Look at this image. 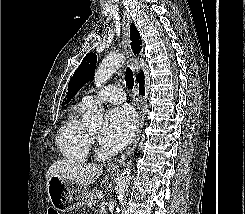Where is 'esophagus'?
Instances as JSON below:
<instances>
[{"mask_svg":"<svg viewBox=\"0 0 245 214\" xmlns=\"http://www.w3.org/2000/svg\"><path fill=\"white\" fill-rule=\"evenodd\" d=\"M132 24V19L128 15L126 11H123V45H124V50L125 53L129 59L132 71L135 73L137 71V58L134 55L131 46H130V26ZM134 101L138 109H140V106L143 104V100L139 94L137 86L134 89ZM141 112L139 115V124L140 128L137 130L136 137L133 141V145L129 147L127 151H125L122 155H120L116 160L115 163H121L125 161L130 155L133 153L134 148L136 147L139 139H140V132H141V127L143 123V118L141 117Z\"/></svg>","mask_w":245,"mask_h":214,"instance_id":"1","label":"esophagus"}]
</instances>
